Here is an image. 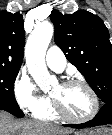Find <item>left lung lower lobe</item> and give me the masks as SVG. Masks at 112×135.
Returning a JSON list of instances; mask_svg holds the SVG:
<instances>
[{
	"instance_id": "obj_1",
	"label": "left lung lower lobe",
	"mask_w": 112,
	"mask_h": 135,
	"mask_svg": "<svg viewBox=\"0 0 112 135\" xmlns=\"http://www.w3.org/2000/svg\"><path fill=\"white\" fill-rule=\"evenodd\" d=\"M105 124H112V102L105 103L99 113L92 120L82 124H68L64 126L72 128H87Z\"/></svg>"
}]
</instances>
